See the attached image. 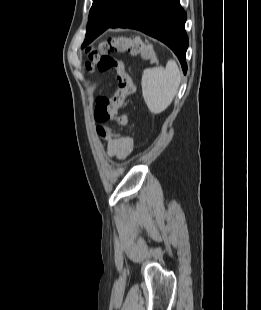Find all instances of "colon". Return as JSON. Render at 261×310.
<instances>
[{
    "instance_id": "obj_1",
    "label": "colon",
    "mask_w": 261,
    "mask_h": 310,
    "mask_svg": "<svg viewBox=\"0 0 261 310\" xmlns=\"http://www.w3.org/2000/svg\"><path fill=\"white\" fill-rule=\"evenodd\" d=\"M114 52L141 56L152 62L156 61V54L152 46L143 44L136 36H112L88 51V68L96 66L102 72L116 70L117 90L115 94L112 97L98 98L95 106L94 117L98 122L97 133L102 137H122L119 132L107 129L103 124L114 120L119 126L127 128L129 125L128 116L119 114V109L125 100L135 92L132 78L125 72L123 63L111 56Z\"/></svg>"
}]
</instances>
